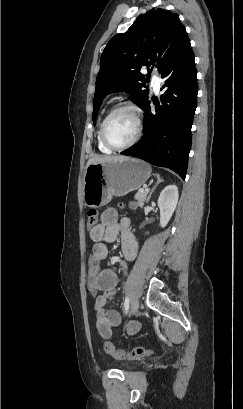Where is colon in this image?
Returning <instances> with one entry per match:
<instances>
[{
    "label": "colon",
    "mask_w": 243,
    "mask_h": 409,
    "mask_svg": "<svg viewBox=\"0 0 243 409\" xmlns=\"http://www.w3.org/2000/svg\"><path fill=\"white\" fill-rule=\"evenodd\" d=\"M99 214L98 211L94 208L89 209L88 216H87V229L91 230L98 224ZM96 268H93L95 271ZM103 350L105 353L113 356L118 360H135V359H143L146 358L151 354V350L144 348V347H135L129 351L116 349L110 342L104 341L103 342Z\"/></svg>",
    "instance_id": "colon-1"
}]
</instances>
